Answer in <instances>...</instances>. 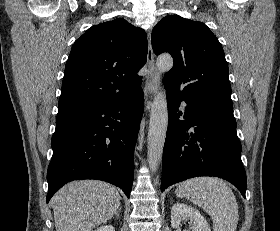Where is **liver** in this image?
Instances as JSON below:
<instances>
[{
  "label": "liver",
  "mask_w": 280,
  "mask_h": 231,
  "mask_svg": "<svg viewBox=\"0 0 280 231\" xmlns=\"http://www.w3.org/2000/svg\"><path fill=\"white\" fill-rule=\"evenodd\" d=\"M116 187L98 179L70 181L51 199L57 231H91L119 209Z\"/></svg>",
  "instance_id": "6515ba94"
}]
</instances>
